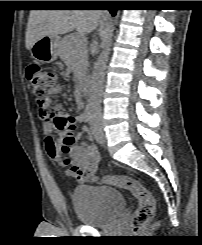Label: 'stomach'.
<instances>
[{
  "instance_id": "1",
  "label": "stomach",
  "mask_w": 202,
  "mask_h": 245,
  "mask_svg": "<svg viewBox=\"0 0 202 245\" xmlns=\"http://www.w3.org/2000/svg\"><path fill=\"white\" fill-rule=\"evenodd\" d=\"M61 42L59 36H43L31 47V56L40 63L52 62L59 55Z\"/></svg>"
}]
</instances>
